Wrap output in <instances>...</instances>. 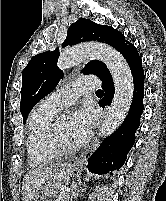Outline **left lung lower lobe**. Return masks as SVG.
<instances>
[{"label": "left lung lower lobe", "mask_w": 166, "mask_h": 201, "mask_svg": "<svg viewBox=\"0 0 166 201\" xmlns=\"http://www.w3.org/2000/svg\"><path fill=\"white\" fill-rule=\"evenodd\" d=\"M122 55L128 62L133 76V100L128 115L121 126L113 134L104 139L86 163V167L92 173L96 174L110 173L113 175L114 171L119 170L123 166L127 158V153L134 144L135 132L140 126V117L144 108L145 76L141 57L133 44H129ZM101 80L105 95L102 103L99 102V105L104 107L105 105H110L112 102L114 83L111 74L106 75Z\"/></svg>", "instance_id": "left-lung-lower-lobe-1"}]
</instances>
